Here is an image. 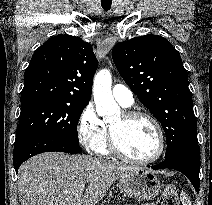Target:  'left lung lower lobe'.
Returning <instances> with one entry per match:
<instances>
[{
  "label": "left lung lower lobe",
  "mask_w": 212,
  "mask_h": 205,
  "mask_svg": "<svg viewBox=\"0 0 212 205\" xmlns=\"http://www.w3.org/2000/svg\"><path fill=\"white\" fill-rule=\"evenodd\" d=\"M150 167V166H148ZM152 169H175L188 177L195 190L199 192L200 151L197 140L180 151L178 154L167 158L158 165L151 166Z\"/></svg>",
  "instance_id": "0a47b994"
}]
</instances>
